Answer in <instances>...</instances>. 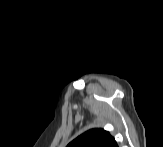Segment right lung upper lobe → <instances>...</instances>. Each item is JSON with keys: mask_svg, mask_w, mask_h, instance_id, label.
<instances>
[{"mask_svg": "<svg viewBox=\"0 0 163 147\" xmlns=\"http://www.w3.org/2000/svg\"><path fill=\"white\" fill-rule=\"evenodd\" d=\"M67 147H117V143L109 132L97 128L78 136Z\"/></svg>", "mask_w": 163, "mask_h": 147, "instance_id": "cb5924a9", "label": "right lung upper lobe"}]
</instances>
